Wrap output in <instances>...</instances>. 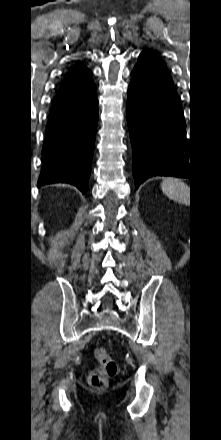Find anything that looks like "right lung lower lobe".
<instances>
[{
  "mask_svg": "<svg viewBox=\"0 0 221 440\" xmlns=\"http://www.w3.org/2000/svg\"><path fill=\"white\" fill-rule=\"evenodd\" d=\"M97 122L98 99L91 78L59 88L50 110L38 186L69 183L86 193Z\"/></svg>",
  "mask_w": 221,
  "mask_h": 440,
  "instance_id": "obj_1",
  "label": "right lung lower lobe"
}]
</instances>
